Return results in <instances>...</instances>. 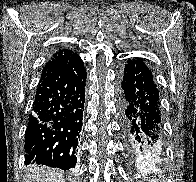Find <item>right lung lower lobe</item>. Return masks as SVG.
<instances>
[{
	"label": "right lung lower lobe",
	"instance_id": "1",
	"mask_svg": "<svg viewBox=\"0 0 196 182\" xmlns=\"http://www.w3.org/2000/svg\"><path fill=\"white\" fill-rule=\"evenodd\" d=\"M86 71L77 55L40 80L25 133V164L74 168L85 102Z\"/></svg>",
	"mask_w": 196,
	"mask_h": 182
}]
</instances>
